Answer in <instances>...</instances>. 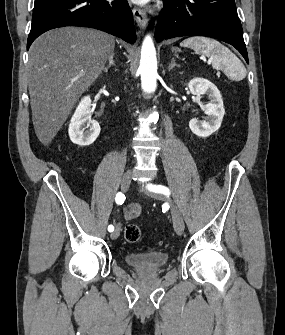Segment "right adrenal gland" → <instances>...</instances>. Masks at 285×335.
<instances>
[{
  "mask_svg": "<svg viewBox=\"0 0 285 335\" xmlns=\"http://www.w3.org/2000/svg\"><path fill=\"white\" fill-rule=\"evenodd\" d=\"M114 56H115V54H111V56L109 58V64H108L107 68H104V72H108V70H109V68H111V66H115Z\"/></svg>",
  "mask_w": 285,
  "mask_h": 335,
  "instance_id": "1",
  "label": "right adrenal gland"
}]
</instances>
